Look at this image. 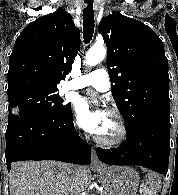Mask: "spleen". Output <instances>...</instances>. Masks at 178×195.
<instances>
[{
  "instance_id": "3e777b00",
  "label": "spleen",
  "mask_w": 178,
  "mask_h": 195,
  "mask_svg": "<svg viewBox=\"0 0 178 195\" xmlns=\"http://www.w3.org/2000/svg\"><path fill=\"white\" fill-rule=\"evenodd\" d=\"M146 182L152 193H157L161 188V180L158 175L148 174L146 177Z\"/></svg>"
}]
</instances>
